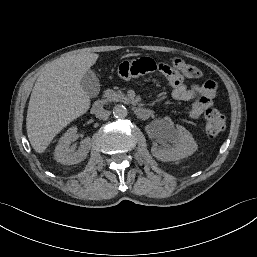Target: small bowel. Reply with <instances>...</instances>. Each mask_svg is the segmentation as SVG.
I'll return each mask as SVG.
<instances>
[{"label":"small bowel","instance_id":"obj_1","mask_svg":"<svg viewBox=\"0 0 257 257\" xmlns=\"http://www.w3.org/2000/svg\"><path fill=\"white\" fill-rule=\"evenodd\" d=\"M156 72L171 84L174 99L180 101L196 99L187 114L190 119H199L212 106L216 95V85L213 81H206L189 88L184 83L185 76L180 70L173 68L166 62L157 65L154 59L147 56H138L135 60L123 59L118 64L116 76L120 82L129 84L134 80L142 81L150 78Z\"/></svg>","mask_w":257,"mask_h":257}]
</instances>
